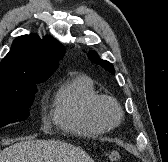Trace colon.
I'll use <instances>...</instances> for the list:
<instances>
[{"label":"colon","mask_w":168,"mask_h":162,"mask_svg":"<svg viewBox=\"0 0 168 162\" xmlns=\"http://www.w3.org/2000/svg\"><path fill=\"white\" fill-rule=\"evenodd\" d=\"M109 159L112 162L121 160V155L118 152H111L109 155Z\"/></svg>","instance_id":"1"}]
</instances>
